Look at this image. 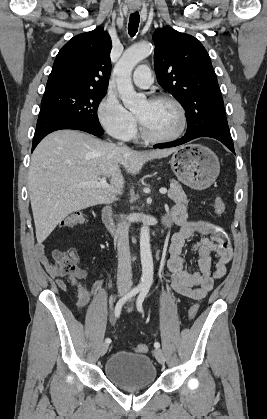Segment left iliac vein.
<instances>
[{
	"label": "left iliac vein",
	"instance_id": "4c4485c4",
	"mask_svg": "<svg viewBox=\"0 0 267 419\" xmlns=\"http://www.w3.org/2000/svg\"><path fill=\"white\" fill-rule=\"evenodd\" d=\"M154 356L156 358V360L160 363V364H164L165 363V356L164 353L161 349L156 348L154 350Z\"/></svg>",
	"mask_w": 267,
	"mask_h": 419
}]
</instances>
